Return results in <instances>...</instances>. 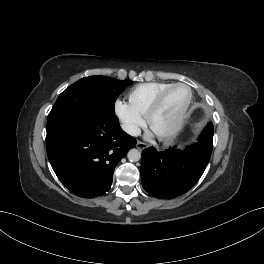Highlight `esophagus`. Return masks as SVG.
<instances>
[{"mask_svg":"<svg viewBox=\"0 0 264 264\" xmlns=\"http://www.w3.org/2000/svg\"><path fill=\"white\" fill-rule=\"evenodd\" d=\"M147 147V144L141 142V141H137L136 143V148H138L139 150H143Z\"/></svg>","mask_w":264,"mask_h":264,"instance_id":"esophagus-1","label":"esophagus"}]
</instances>
